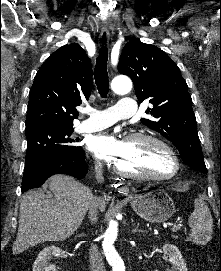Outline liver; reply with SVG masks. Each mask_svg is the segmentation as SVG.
Returning a JSON list of instances; mask_svg holds the SVG:
<instances>
[{
  "label": "liver",
  "instance_id": "liver-1",
  "mask_svg": "<svg viewBox=\"0 0 221 271\" xmlns=\"http://www.w3.org/2000/svg\"><path fill=\"white\" fill-rule=\"evenodd\" d=\"M53 197L42 189H30L21 195L19 225L13 253H21L41 241H64L81 225L90 205L89 187L71 175H52L48 181ZM100 211L106 201L98 197Z\"/></svg>",
  "mask_w": 221,
  "mask_h": 271
}]
</instances>
